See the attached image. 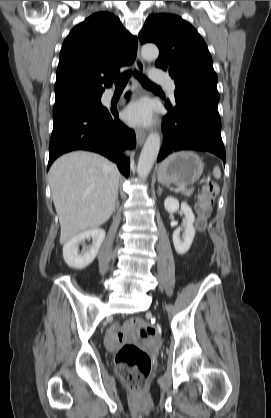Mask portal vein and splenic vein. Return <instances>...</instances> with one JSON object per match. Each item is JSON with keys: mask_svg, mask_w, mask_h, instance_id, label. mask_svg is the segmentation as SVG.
<instances>
[{"mask_svg": "<svg viewBox=\"0 0 271 418\" xmlns=\"http://www.w3.org/2000/svg\"><path fill=\"white\" fill-rule=\"evenodd\" d=\"M180 190V188H178V189H175V191L177 192V191H179Z\"/></svg>", "mask_w": 271, "mask_h": 418, "instance_id": "1", "label": "portal vein and splenic vein"}]
</instances>
